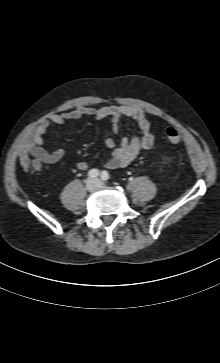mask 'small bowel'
Returning <instances> with one entry per match:
<instances>
[{"instance_id":"c3829d8e","label":"small bowel","mask_w":220,"mask_h":363,"mask_svg":"<svg viewBox=\"0 0 220 363\" xmlns=\"http://www.w3.org/2000/svg\"><path fill=\"white\" fill-rule=\"evenodd\" d=\"M93 117L97 120L109 117L111 128L114 133L119 132V124L122 118L132 120L140 129V135L131 139L122 138L119 145L113 138L105 140V146L112 150L110 159L105 167L115 169L131 164L143 150L150 149L155 141V135L151 122L144 111L130 106H106V107H79L72 111L58 114L43 120L30 134L28 141L19 150V162L25 169L40 171L43 164H55L65 155L62 148L52 152L46 151L42 144L49 128L63 125L66 121ZM87 162L80 161L76 168L80 171L87 170Z\"/></svg>"}]
</instances>
